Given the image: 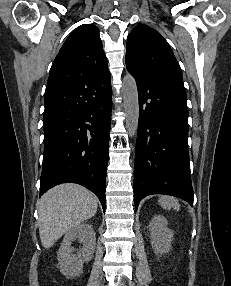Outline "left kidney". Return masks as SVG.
Here are the masks:
<instances>
[{"mask_svg":"<svg viewBox=\"0 0 231 286\" xmlns=\"http://www.w3.org/2000/svg\"><path fill=\"white\" fill-rule=\"evenodd\" d=\"M165 217L156 215L149 224L151 245L157 254L166 253L171 247L173 231L167 227Z\"/></svg>","mask_w":231,"mask_h":286,"instance_id":"left-kidney-1","label":"left kidney"}]
</instances>
